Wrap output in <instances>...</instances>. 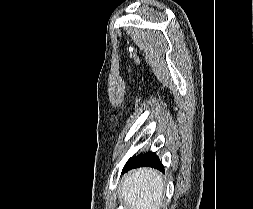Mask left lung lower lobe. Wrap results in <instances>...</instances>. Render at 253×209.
<instances>
[{
	"mask_svg": "<svg viewBox=\"0 0 253 209\" xmlns=\"http://www.w3.org/2000/svg\"><path fill=\"white\" fill-rule=\"evenodd\" d=\"M139 167H152L164 172V166L154 152H146L145 154L130 158L125 164L122 172L124 173L130 169Z\"/></svg>",
	"mask_w": 253,
	"mask_h": 209,
	"instance_id": "1",
	"label": "left lung lower lobe"
}]
</instances>
